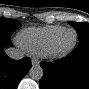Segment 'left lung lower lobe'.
I'll list each match as a JSON object with an SVG mask.
<instances>
[{"mask_svg": "<svg viewBox=\"0 0 89 89\" xmlns=\"http://www.w3.org/2000/svg\"><path fill=\"white\" fill-rule=\"evenodd\" d=\"M67 57L41 62L43 77L40 89H89V39H80Z\"/></svg>", "mask_w": 89, "mask_h": 89, "instance_id": "left-lung-lower-lobe-1", "label": "left lung lower lobe"}]
</instances>
